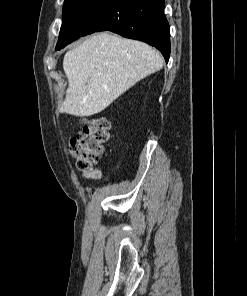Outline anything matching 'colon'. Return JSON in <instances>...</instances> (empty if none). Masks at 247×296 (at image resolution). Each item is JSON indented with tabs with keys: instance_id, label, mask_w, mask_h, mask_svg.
<instances>
[{
	"instance_id": "5ec220e1",
	"label": "colon",
	"mask_w": 247,
	"mask_h": 296,
	"mask_svg": "<svg viewBox=\"0 0 247 296\" xmlns=\"http://www.w3.org/2000/svg\"><path fill=\"white\" fill-rule=\"evenodd\" d=\"M109 139V122L101 117L86 119L81 131L72 138L70 151L76 159L77 168L86 178L99 176L95 165L103 155Z\"/></svg>"
}]
</instances>
